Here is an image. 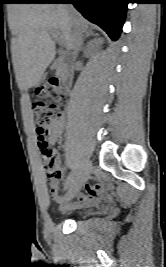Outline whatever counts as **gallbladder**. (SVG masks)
<instances>
[{
    "label": "gallbladder",
    "instance_id": "gallbladder-1",
    "mask_svg": "<svg viewBox=\"0 0 166 267\" xmlns=\"http://www.w3.org/2000/svg\"><path fill=\"white\" fill-rule=\"evenodd\" d=\"M45 77H46V76H44V77L41 79L40 83H42V82L45 81Z\"/></svg>",
    "mask_w": 166,
    "mask_h": 267
}]
</instances>
